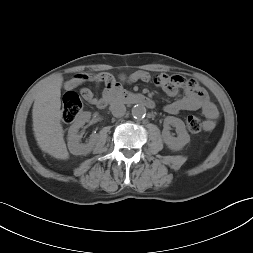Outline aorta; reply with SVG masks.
Here are the masks:
<instances>
[{
    "label": "aorta",
    "instance_id": "obj_1",
    "mask_svg": "<svg viewBox=\"0 0 253 253\" xmlns=\"http://www.w3.org/2000/svg\"><path fill=\"white\" fill-rule=\"evenodd\" d=\"M145 114H146V109L143 105L137 104L133 106L132 115L135 118H142L145 116Z\"/></svg>",
    "mask_w": 253,
    "mask_h": 253
}]
</instances>
